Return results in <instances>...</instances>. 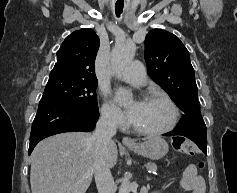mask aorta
I'll list each match as a JSON object with an SVG mask.
<instances>
[{"instance_id": "obj_1", "label": "aorta", "mask_w": 237, "mask_h": 193, "mask_svg": "<svg viewBox=\"0 0 237 193\" xmlns=\"http://www.w3.org/2000/svg\"><path fill=\"white\" fill-rule=\"evenodd\" d=\"M136 46L132 42L115 44L111 52V66L114 71H121L133 59ZM130 92H126L125 96L130 98ZM118 193H130V179L128 174H125L121 179V185Z\"/></svg>"}]
</instances>
